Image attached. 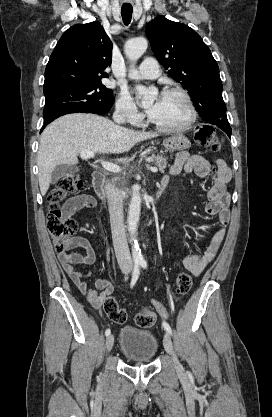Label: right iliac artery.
<instances>
[{
    "mask_svg": "<svg viewBox=\"0 0 272 417\" xmlns=\"http://www.w3.org/2000/svg\"><path fill=\"white\" fill-rule=\"evenodd\" d=\"M139 274H140V264H139V263H135V265H134V271H133V275H132V279H131V283H130L131 288H132V287L135 285V283L137 282L138 277H139ZM110 333H111L110 329H107V330L105 331V335H106V336H109V335H110Z\"/></svg>",
    "mask_w": 272,
    "mask_h": 417,
    "instance_id": "right-iliac-artery-1",
    "label": "right iliac artery"
}]
</instances>
